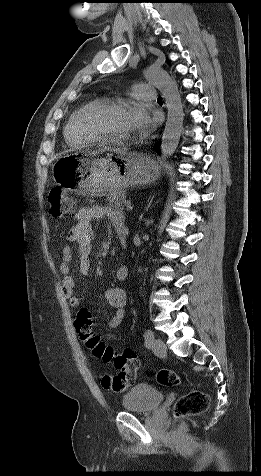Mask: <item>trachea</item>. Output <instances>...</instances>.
Returning a JSON list of instances; mask_svg holds the SVG:
<instances>
[{
    "instance_id": "trachea-1",
    "label": "trachea",
    "mask_w": 261,
    "mask_h": 476,
    "mask_svg": "<svg viewBox=\"0 0 261 476\" xmlns=\"http://www.w3.org/2000/svg\"><path fill=\"white\" fill-rule=\"evenodd\" d=\"M158 101H161V102H162V97H159V98H158Z\"/></svg>"
}]
</instances>
